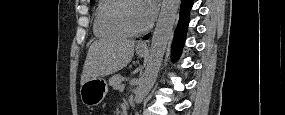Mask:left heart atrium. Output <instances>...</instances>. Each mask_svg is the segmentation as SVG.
<instances>
[{
	"label": "left heart atrium",
	"instance_id": "1",
	"mask_svg": "<svg viewBox=\"0 0 285 115\" xmlns=\"http://www.w3.org/2000/svg\"><path fill=\"white\" fill-rule=\"evenodd\" d=\"M140 12L144 26H148L154 19L156 14V1L154 0H141Z\"/></svg>",
	"mask_w": 285,
	"mask_h": 115
}]
</instances>
